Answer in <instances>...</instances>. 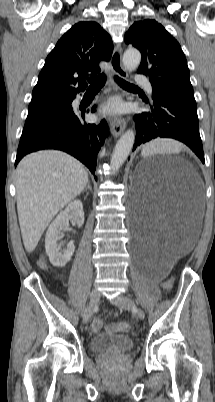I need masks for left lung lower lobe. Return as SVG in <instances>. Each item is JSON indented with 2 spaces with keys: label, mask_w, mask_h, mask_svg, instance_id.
<instances>
[{
  "label": "left lung lower lobe",
  "mask_w": 215,
  "mask_h": 402,
  "mask_svg": "<svg viewBox=\"0 0 215 402\" xmlns=\"http://www.w3.org/2000/svg\"><path fill=\"white\" fill-rule=\"evenodd\" d=\"M152 97V102L144 99L145 104L149 106V111L134 117L137 131L133 151L139 145L152 139L168 137L185 143L204 163L197 109L156 94Z\"/></svg>",
  "instance_id": "1"
}]
</instances>
